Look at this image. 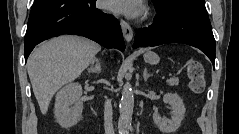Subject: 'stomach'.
<instances>
[{"label":"stomach","instance_id":"obj_1","mask_svg":"<svg viewBox=\"0 0 239 134\" xmlns=\"http://www.w3.org/2000/svg\"><path fill=\"white\" fill-rule=\"evenodd\" d=\"M144 60L146 63L153 65V64H157L160 58L156 53L148 51L144 54Z\"/></svg>","mask_w":239,"mask_h":134}]
</instances>
